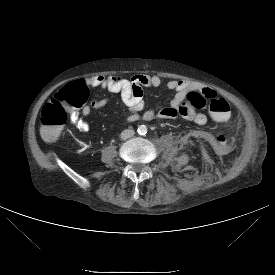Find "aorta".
I'll return each mask as SVG.
<instances>
[{"instance_id": "1", "label": "aorta", "mask_w": 275, "mask_h": 275, "mask_svg": "<svg viewBox=\"0 0 275 275\" xmlns=\"http://www.w3.org/2000/svg\"><path fill=\"white\" fill-rule=\"evenodd\" d=\"M137 131L140 135H145L147 133V127L145 125H140Z\"/></svg>"}]
</instances>
